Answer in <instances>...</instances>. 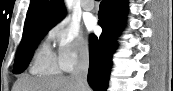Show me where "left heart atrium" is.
Returning <instances> with one entry per match:
<instances>
[{
    "instance_id": "left-heart-atrium-1",
    "label": "left heart atrium",
    "mask_w": 173,
    "mask_h": 91,
    "mask_svg": "<svg viewBox=\"0 0 173 91\" xmlns=\"http://www.w3.org/2000/svg\"><path fill=\"white\" fill-rule=\"evenodd\" d=\"M86 26H87V28H88L89 30L94 29V28L96 27V23H95L94 18H89V19L87 20Z\"/></svg>"
}]
</instances>
